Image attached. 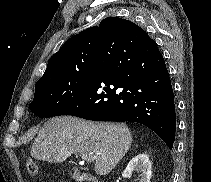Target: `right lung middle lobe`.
<instances>
[{
    "mask_svg": "<svg viewBox=\"0 0 211 182\" xmlns=\"http://www.w3.org/2000/svg\"><path fill=\"white\" fill-rule=\"evenodd\" d=\"M93 65L68 71L35 84V95L29 105L30 110L38 117L60 115L85 89Z\"/></svg>",
    "mask_w": 211,
    "mask_h": 182,
    "instance_id": "right-lung-middle-lobe-1",
    "label": "right lung middle lobe"
}]
</instances>
